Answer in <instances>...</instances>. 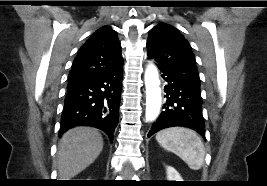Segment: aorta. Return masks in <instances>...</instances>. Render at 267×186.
I'll return each instance as SVG.
<instances>
[{
	"label": "aorta",
	"mask_w": 267,
	"mask_h": 186,
	"mask_svg": "<svg viewBox=\"0 0 267 186\" xmlns=\"http://www.w3.org/2000/svg\"><path fill=\"white\" fill-rule=\"evenodd\" d=\"M146 87V120L154 121L161 108V88L158 70L153 64H149L145 70Z\"/></svg>",
	"instance_id": "1"
}]
</instances>
